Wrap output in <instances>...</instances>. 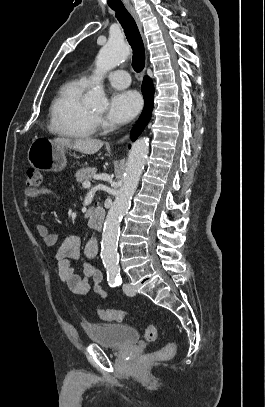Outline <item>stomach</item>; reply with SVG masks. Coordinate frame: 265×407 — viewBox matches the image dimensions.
Wrapping results in <instances>:
<instances>
[{
    "instance_id": "0dacf381",
    "label": "stomach",
    "mask_w": 265,
    "mask_h": 407,
    "mask_svg": "<svg viewBox=\"0 0 265 407\" xmlns=\"http://www.w3.org/2000/svg\"><path fill=\"white\" fill-rule=\"evenodd\" d=\"M28 161L32 167L40 171H61L67 160L65 147L48 139H37L29 147Z\"/></svg>"
}]
</instances>
